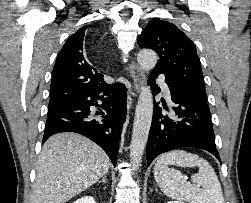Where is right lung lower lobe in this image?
<instances>
[{
    "mask_svg": "<svg viewBox=\"0 0 251 203\" xmlns=\"http://www.w3.org/2000/svg\"><path fill=\"white\" fill-rule=\"evenodd\" d=\"M93 105L99 107L96 113L90 111ZM125 115L126 88L122 83L89 87L72 99L48 108L43 143L57 133H79L97 143L115 165Z\"/></svg>",
    "mask_w": 251,
    "mask_h": 203,
    "instance_id": "98d812e1",
    "label": "right lung lower lobe"
}]
</instances>
